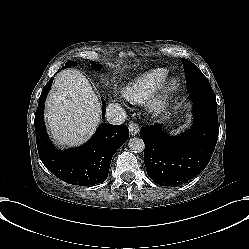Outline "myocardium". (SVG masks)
Here are the masks:
<instances>
[{
	"label": "myocardium",
	"mask_w": 249,
	"mask_h": 249,
	"mask_svg": "<svg viewBox=\"0 0 249 249\" xmlns=\"http://www.w3.org/2000/svg\"><path fill=\"white\" fill-rule=\"evenodd\" d=\"M179 86L176 77H169L160 92L146 105L148 114L154 118L162 116L168 110L170 99L176 94Z\"/></svg>",
	"instance_id": "1"
}]
</instances>
